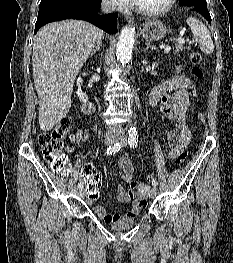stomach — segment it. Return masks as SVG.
<instances>
[{"mask_svg": "<svg viewBox=\"0 0 233 263\" xmlns=\"http://www.w3.org/2000/svg\"><path fill=\"white\" fill-rule=\"evenodd\" d=\"M166 32V26L159 20L148 21L142 29V35L148 41L160 40L166 35Z\"/></svg>", "mask_w": 233, "mask_h": 263, "instance_id": "1", "label": "stomach"}]
</instances>
